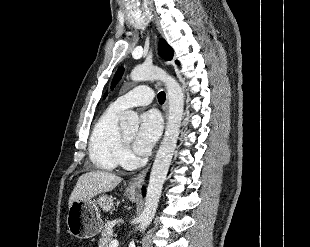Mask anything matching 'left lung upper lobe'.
Instances as JSON below:
<instances>
[{
	"mask_svg": "<svg viewBox=\"0 0 310 247\" xmlns=\"http://www.w3.org/2000/svg\"><path fill=\"white\" fill-rule=\"evenodd\" d=\"M159 55L165 60H172V58H173L172 48L163 39H161L159 42ZM176 63H177V61H176ZM123 72H124V68H120L116 72L114 79H113V82H112L113 87L117 84V82L121 78Z\"/></svg>",
	"mask_w": 310,
	"mask_h": 247,
	"instance_id": "obj_1",
	"label": "left lung upper lobe"
}]
</instances>
